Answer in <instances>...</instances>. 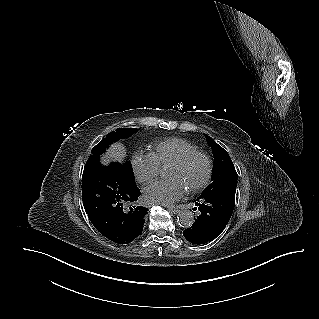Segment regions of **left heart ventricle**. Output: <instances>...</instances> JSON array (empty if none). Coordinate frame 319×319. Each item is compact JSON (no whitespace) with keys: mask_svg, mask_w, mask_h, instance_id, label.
<instances>
[{"mask_svg":"<svg viewBox=\"0 0 319 319\" xmlns=\"http://www.w3.org/2000/svg\"><path fill=\"white\" fill-rule=\"evenodd\" d=\"M206 174L205 161L200 158H194L182 167L169 166L166 170L168 178H177L181 180L187 188H191L200 183Z\"/></svg>","mask_w":319,"mask_h":319,"instance_id":"1","label":"left heart ventricle"}]
</instances>
